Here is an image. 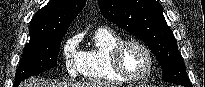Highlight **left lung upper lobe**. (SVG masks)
Returning <instances> with one entry per match:
<instances>
[{
	"label": "left lung upper lobe",
	"mask_w": 205,
	"mask_h": 87,
	"mask_svg": "<svg viewBox=\"0 0 205 87\" xmlns=\"http://www.w3.org/2000/svg\"><path fill=\"white\" fill-rule=\"evenodd\" d=\"M98 3L107 20L135 35L151 49L162 67L164 81L192 87L177 42L158 1L99 0Z\"/></svg>",
	"instance_id": "left-lung-upper-lobe-1"
}]
</instances>
